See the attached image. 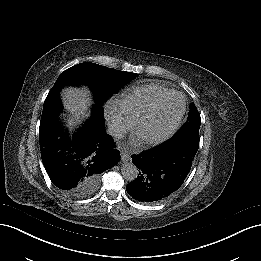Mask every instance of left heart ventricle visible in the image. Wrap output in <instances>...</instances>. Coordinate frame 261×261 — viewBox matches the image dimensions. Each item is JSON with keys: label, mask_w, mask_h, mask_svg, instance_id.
<instances>
[{"label": "left heart ventricle", "mask_w": 261, "mask_h": 261, "mask_svg": "<svg viewBox=\"0 0 261 261\" xmlns=\"http://www.w3.org/2000/svg\"><path fill=\"white\" fill-rule=\"evenodd\" d=\"M182 99H171L162 109L148 115L139 127V134L146 137L156 136L167 130L178 118L182 110Z\"/></svg>", "instance_id": "1"}]
</instances>
